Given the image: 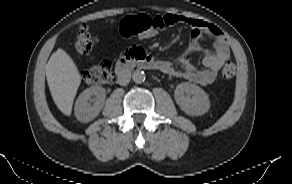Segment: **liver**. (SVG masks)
I'll return each mask as SVG.
<instances>
[{
  "mask_svg": "<svg viewBox=\"0 0 292 184\" xmlns=\"http://www.w3.org/2000/svg\"><path fill=\"white\" fill-rule=\"evenodd\" d=\"M47 83L58 109L69 116L81 83V75L72 58L61 48L54 52L46 65Z\"/></svg>",
  "mask_w": 292,
  "mask_h": 184,
  "instance_id": "liver-1",
  "label": "liver"
}]
</instances>
